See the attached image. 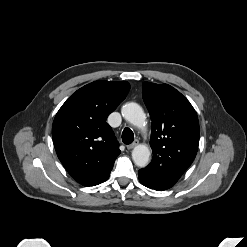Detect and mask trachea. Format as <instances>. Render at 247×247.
I'll use <instances>...</instances> for the list:
<instances>
[{"instance_id":"trachea-1","label":"trachea","mask_w":247,"mask_h":247,"mask_svg":"<svg viewBox=\"0 0 247 247\" xmlns=\"http://www.w3.org/2000/svg\"><path fill=\"white\" fill-rule=\"evenodd\" d=\"M134 140V133L131 129L125 128L122 132V141L124 144H131Z\"/></svg>"}]
</instances>
